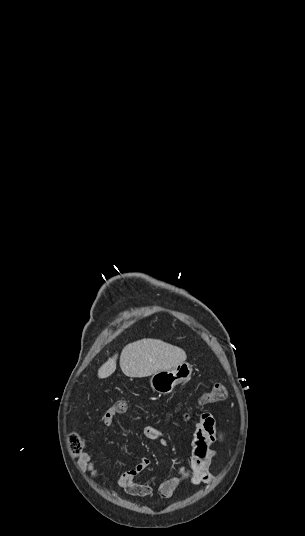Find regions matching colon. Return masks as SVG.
Wrapping results in <instances>:
<instances>
[{
    "instance_id": "1",
    "label": "colon",
    "mask_w": 305,
    "mask_h": 536,
    "mask_svg": "<svg viewBox=\"0 0 305 536\" xmlns=\"http://www.w3.org/2000/svg\"><path fill=\"white\" fill-rule=\"evenodd\" d=\"M227 396V391L225 385L221 382L214 384L211 390L206 391L202 394L200 404L207 406L217 404L223 401ZM114 412L112 415H123L127 412L129 408V402L127 400H118L112 405ZM66 445L69 446V452L71 454H78L80 452V446L82 445L83 439L81 435H67L65 439Z\"/></svg>"
}]
</instances>
